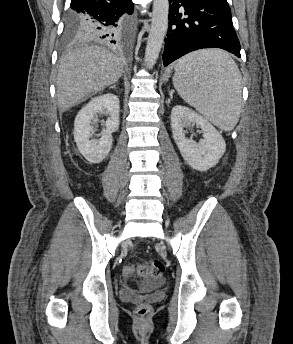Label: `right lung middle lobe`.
<instances>
[{
  "instance_id": "dd1d6c3e",
  "label": "right lung middle lobe",
  "mask_w": 293,
  "mask_h": 344,
  "mask_svg": "<svg viewBox=\"0 0 293 344\" xmlns=\"http://www.w3.org/2000/svg\"><path fill=\"white\" fill-rule=\"evenodd\" d=\"M85 16L70 11L67 19L63 41L66 44L82 41L81 27L84 24Z\"/></svg>"
}]
</instances>
